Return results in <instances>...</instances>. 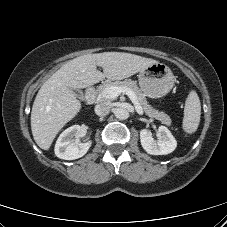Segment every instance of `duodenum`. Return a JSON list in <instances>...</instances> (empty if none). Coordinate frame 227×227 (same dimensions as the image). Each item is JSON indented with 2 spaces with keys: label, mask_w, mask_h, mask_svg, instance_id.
<instances>
[{
  "label": "duodenum",
  "mask_w": 227,
  "mask_h": 227,
  "mask_svg": "<svg viewBox=\"0 0 227 227\" xmlns=\"http://www.w3.org/2000/svg\"><path fill=\"white\" fill-rule=\"evenodd\" d=\"M96 101V89L95 87H89L86 92V103L88 106L94 104Z\"/></svg>",
  "instance_id": "1"
}]
</instances>
